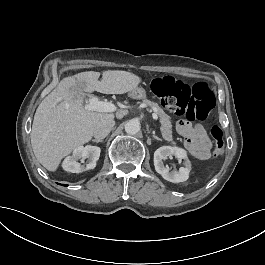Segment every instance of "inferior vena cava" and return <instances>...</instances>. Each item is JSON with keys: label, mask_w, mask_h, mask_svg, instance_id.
Listing matches in <instances>:
<instances>
[{"label": "inferior vena cava", "mask_w": 265, "mask_h": 265, "mask_svg": "<svg viewBox=\"0 0 265 265\" xmlns=\"http://www.w3.org/2000/svg\"><path fill=\"white\" fill-rule=\"evenodd\" d=\"M114 126V120H103L95 126L93 136L99 140L104 139L109 135L110 131L114 128Z\"/></svg>", "instance_id": "602c4592"}]
</instances>
